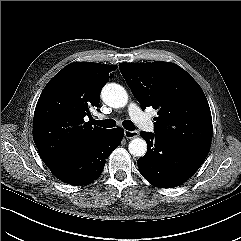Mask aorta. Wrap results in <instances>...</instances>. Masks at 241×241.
<instances>
[{
  "mask_svg": "<svg viewBox=\"0 0 241 241\" xmlns=\"http://www.w3.org/2000/svg\"><path fill=\"white\" fill-rule=\"evenodd\" d=\"M102 100L110 107L122 108L128 102V94L126 90L119 84L108 83L101 92ZM131 155L142 157L147 151V143L142 138H134L128 145Z\"/></svg>",
  "mask_w": 241,
  "mask_h": 241,
  "instance_id": "aorta-1",
  "label": "aorta"
}]
</instances>
